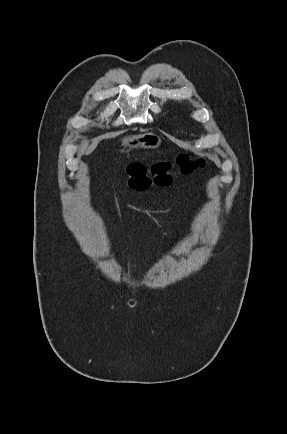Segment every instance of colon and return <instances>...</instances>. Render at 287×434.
<instances>
[{
	"instance_id": "5ec220e1",
	"label": "colon",
	"mask_w": 287,
	"mask_h": 434,
	"mask_svg": "<svg viewBox=\"0 0 287 434\" xmlns=\"http://www.w3.org/2000/svg\"><path fill=\"white\" fill-rule=\"evenodd\" d=\"M204 163L203 158H192L187 154L179 155L174 163L158 161L150 167L133 163L126 167L128 183L136 190H145L152 185L167 186L173 182L175 172L187 175Z\"/></svg>"
}]
</instances>
